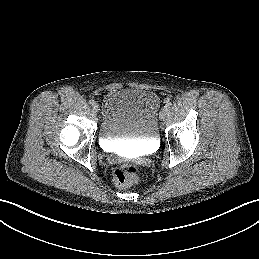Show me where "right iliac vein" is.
Listing matches in <instances>:
<instances>
[{"instance_id":"1","label":"right iliac vein","mask_w":259,"mask_h":259,"mask_svg":"<svg viewBox=\"0 0 259 259\" xmlns=\"http://www.w3.org/2000/svg\"><path fill=\"white\" fill-rule=\"evenodd\" d=\"M99 105L97 104V103H95L94 105H93V110H94V112H98L99 111Z\"/></svg>"}]
</instances>
